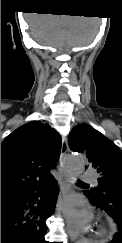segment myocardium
Segmentation results:
<instances>
[{
	"instance_id": "myocardium-1",
	"label": "myocardium",
	"mask_w": 122,
	"mask_h": 243,
	"mask_svg": "<svg viewBox=\"0 0 122 243\" xmlns=\"http://www.w3.org/2000/svg\"><path fill=\"white\" fill-rule=\"evenodd\" d=\"M98 231L101 232L102 231V226H98Z\"/></svg>"
}]
</instances>
